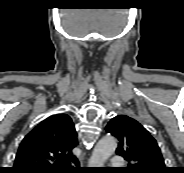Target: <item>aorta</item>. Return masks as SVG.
I'll use <instances>...</instances> for the list:
<instances>
[{
    "instance_id": "762f6f07",
    "label": "aorta",
    "mask_w": 184,
    "mask_h": 173,
    "mask_svg": "<svg viewBox=\"0 0 184 173\" xmlns=\"http://www.w3.org/2000/svg\"><path fill=\"white\" fill-rule=\"evenodd\" d=\"M117 147L115 137L107 135L100 139L95 146L92 156L89 159L90 167H103L107 159L113 155Z\"/></svg>"
}]
</instances>
